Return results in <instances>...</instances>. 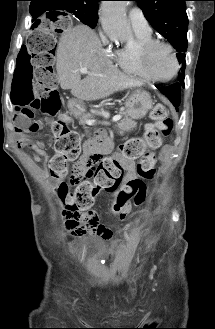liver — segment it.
Segmentation results:
<instances>
[{"label": "liver", "instance_id": "obj_1", "mask_svg": "<svg viewBox=\"0 0 215 329\" xmlns=\"http://www.w3.org/2000/svg\"><path fill=\"white\" fill-rule=\"evenodd\" d=\"M56 70L62 89L80 101H94L143 82L120 72L103 52L95 32L85 25L65 31L57 46ZM89 70L81 80L80 68Z\"/></svg>", "mask_w": 215, "mask_h": 329}]
</instances>
